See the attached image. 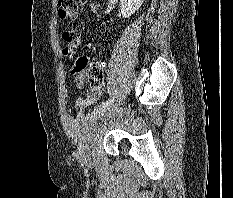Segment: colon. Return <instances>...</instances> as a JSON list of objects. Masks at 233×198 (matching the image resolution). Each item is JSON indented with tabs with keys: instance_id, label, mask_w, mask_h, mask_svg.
Wrapping results in <instances>:
<instances>
[{
	"instance_id": "1",
	"label": "colon",
	"mask_w": 233,
	"mask_h": 198,
	"mask_svg": "<svg viewBox=\"0 0 233 198\" xmlns=\"http://www.w3.org/2000/svg\"><path fill=\"white\" fill-rule=\"evenodd\" d=\"M86 0H59V17L62 20H74L77 17L78 7L84 4ZM63 39L71 46L80 43V32L75 28H69L63 32ZM79 64L84 60L80 59ZM88 81L91 86H100L103 82V69L100 64H94L88 72Z\"/></svg>"
}]
</instances>
